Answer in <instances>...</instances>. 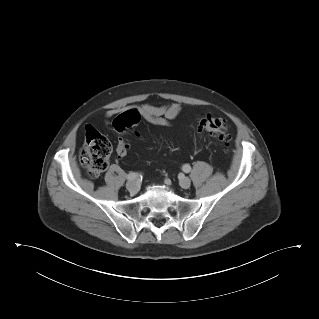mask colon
<instances>
[{
    "label": "colon",
    "instance_id": "obj_1",
    "mask_svg": "<svg viewBox=\"0 0 319 319\" xmlns=\"http://www.w3.org/2000/svg\"><path fill=\"white\" fill-rule=\"evenodd\" d=\"M140 120V113L136 109H131L115 118L113 127L117 132L126 134L132 131ZM199 130L219 141L229 140V127L226 121L215 115H203L199 121ZM111 151V144L103 134L93 128L87 129L80 160L90 176L97 178L105 171Z\"/></svg>",
    "mask_w": 319,
    "mask_h": 319
}]
</instances>
